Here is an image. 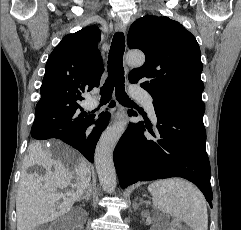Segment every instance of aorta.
<instances>
[{
	"instance_id": "aorta-1",
	"label": "aorta",
	"mask_w": 241,
	"mask_h": 230,
	"mask_svg": "<svg viewBox=\"0 0 241 230\" xmlns=\"http://www.w3.org/2000/svg\"><path fill=\"white\" fill-rule=\"evenodd\" d=\"M126 61L129 65L140 67L145 62L142 52H128ZM127 127L126 122H120L109 128L100 138L95 152V165L100 184L107 193L116 188V171L113 162V151Z\"/></svg>"
}]
</instances>
